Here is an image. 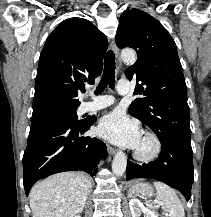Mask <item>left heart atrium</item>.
<instances>
[{"label":"left heart atrium","mask_w":211,"mask_h":217,"mask_svg":"<svg viewBox=\"0 0 211 217\" xmlns=\"http://www.w3.org/2000/svg\"><path fill=\"white\" fill-rule=\"evenodd\" d=\"M97 132L101 137L117 145L132 149H136L142 139L138 124L121 112L104 116L98 124Z\"/></svg>","instance_id":"39dd6f15"}]
</instances>
